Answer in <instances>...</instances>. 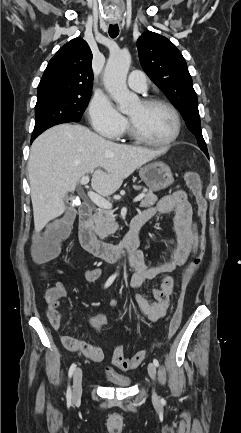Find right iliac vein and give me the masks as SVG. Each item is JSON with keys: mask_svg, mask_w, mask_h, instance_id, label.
I'll list each match as a JSON object with an SVG mask.
<instances>
[{"mask_svg": "<svg viewBox=\"0 0 241 433\" xmlns=\"http://www.w3.org/2000/svg\"><path fill=\"white\" fill-rule=\"evenodd\" d=\"M81 395H82V370L81 368H77L73 375L72 400L75 402L80 400Z\"/></svg>", "mask_w": 241, "mask_h": 433, "instance_id": "obj_1", "label": "right iliac vein"}]
</instances>
